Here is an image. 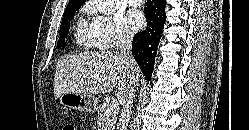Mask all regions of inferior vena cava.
<instances>
[{
	"label": "inferior vena cava",
	"mask_w": 249,
	"mask_h": 130,
	"mask_svg": "<svg viewBox=\"0 0 249 130\" xmlns=\"http://www.w3.org/2000/svg\"><path fill=\"white\" fill-rule=\"evenodd\" d=\"M132 38L133 36L126 32L122 35L120 43L119 56L125 67L129 72V90L122 101V112L119 119L118 130H126L128 122L130 120L131 108L133 104V98L138 84V77L136 76L137 68L135 60L132 56Z\"/></svg>",
	"instance_id": "obj_1"
}]
</instances>
